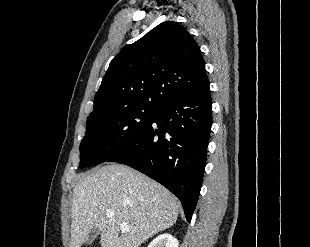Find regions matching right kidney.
Returning <instances> with one entry per match:
<instances>
[{"label": "right kidney", "mask_w": 310, "mask_h": 247, "mask_svg": "<svg viewBox=\"0 0 310 247\" xmlns=\"http://www.w3.org/2000/svg\"><path fill=\"white\" fill-rule=\"evenodd\" d=\"M179 243L176 238H174L169 233H164L157 236L148 247H178Z\"/></svg>", "instance_id": "1"}]
</instances>
